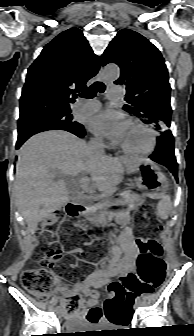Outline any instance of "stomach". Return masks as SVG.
I'll return each mask as SVG.
<instances>
[{
  "instance_id": "0dacf381",
  "label": "stomach",
  "mask_w": 194,
  "mask_h": 336,
  "mask_svg": "<svg viewBox=\"0 0 194 336\" xmlns=\"http://www.w3.org/2000/svg\"><path fill=\"white\" fill-rule=\"evenodd\" d=\"M125 169L128 173L139 175L136 178V184L140 190L145 192V197L159 199L165 195L168 188L167 179L151 161L139 159L125 166ZM125 198L132 206H138L143 201L142 196L134 193L126 194Z\"/></svg>"
}]
</instances>
